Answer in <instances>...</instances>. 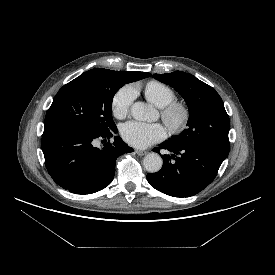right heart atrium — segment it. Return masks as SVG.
<instances>
[{
  "mask_svg": "<svg viewBox=\"0 0 275 275\" xmlns=\"http://www.w3.org/2000/svg\"><path fill=\"white\" fill-rule=\"evenodd\" d=\"M135 98V89L131 85H125L118 89L112 97L111 110L117 119L125 118Z\"/></svg>",
  "mask_w": 275,
  "mask_h": 275,
  "instance_id": "1",
  "label": "right heart atrium"
}]
</instances>
